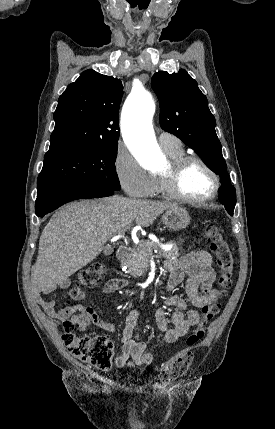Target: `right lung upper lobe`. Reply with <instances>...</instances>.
<instances>
[{
    "label": "right lung upper lobe",
    "instance_id": "obj_1",
    "mask_svg": "<svg viewBox=\"0 0 275 429\" xmlns=\"http://www.w3.org/2000/svg\"><path fill=\"white\" fill-rule=\"evenodd\" d=\"M120 79L86 70L59 97L50 150L118 144Z\"/></svg>",
    "mask_w": 275,
    "mask_h": 429
}]
</instances>
